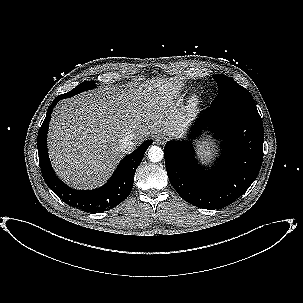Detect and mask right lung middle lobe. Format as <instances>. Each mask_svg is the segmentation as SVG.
<instances>
[{
  "mask_svg": "<svg viewBox=\"0 0 303 303\" xmlns=\"http://www.w3.org/2000/svg\"><path fill=\"white\" fill-rule=\"evenodd\" d=\"M96 87L95 81H85L81 84H79L77 87H75L73 90L69 91L68 93L62 94L66 98L72 97L76 94H79L83 91L90 90Z\"/></svg>",
  "mask_w": 303,
  "mask_h": 303,
  "instance_id": "obj_1",
  "label": "right lung middle lobe"
}]
</instances>
